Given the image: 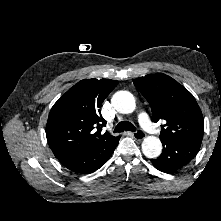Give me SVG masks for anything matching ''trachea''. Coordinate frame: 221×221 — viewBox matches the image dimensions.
<instances>
[{
    "instance_id": "trachea-1",
    "label": "trachea",
    "mask_w": 221,
    "mask_h": 221,
    "mask_svg": "<svg viewBox=\"0 0 221 221\" xmlns=\"http://www.w3.org/2000/svg\"><path fill=\"white\" fill-rule=\"evenodd\" d=\"M124 130L135 131L136 128L132 123H130L128 121H121L115 127L114 133H120V132H123Z\"/></svg>"
}]
</instances>
